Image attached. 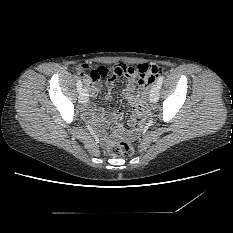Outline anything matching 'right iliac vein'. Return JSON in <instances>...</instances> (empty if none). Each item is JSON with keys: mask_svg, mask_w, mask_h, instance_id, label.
I'll return each instance as SVG.
<instances>
[{"mask_svg": "<svg viewBox=\"0 0 233 233\" xmlns=\"http://www.w3.org/2000/svg\"><path fill=\"white\" fill-rule=\"evenodd\" d=\"M88 101V91L86 88L81 89L79 95V102L85 104Z\"/></svg>", "mask_w": 233, "mask_h": 233, "instance_id": "63e3f726", "label": "right iliac vein"}]
</instances>
